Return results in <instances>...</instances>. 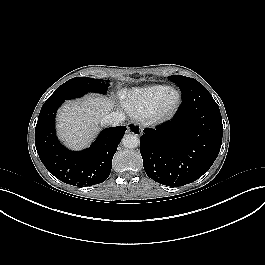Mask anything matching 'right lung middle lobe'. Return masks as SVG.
I'll use <instances>...</instances> for the list:
<instances>
[{
	"label": "right lung middle lobe",
	"instance_id": "1",
	"mask_svg": "<svg viewBox=\"0 0 265 265\" xmlns=\"http://www.w3.org/2000/svg\"><path fill=\"white\" fill-rule=\"evenodd\" d=\"M108 86V83H101L100 79L88 77L72 78L59 86L55 92L45 101V104L64 102L68 99L79 98L88 92L105 94L107 92Z\"/></svg>",
	"mask_w": 265,
	"mask_h": 265
}]
</instances>
